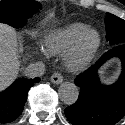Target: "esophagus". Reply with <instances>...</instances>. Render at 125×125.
Here are the masks:
<instances>
[{
    "label": "esophagus",
    "instance_id": "obj_1",
    "mask_svg": "<svg viewBox=\"0 0 125 125\" xmlns=\"http://www.w3.org/2000/svg\"><path fill=\"white\" fill-rule=\"evenodd\" d=\"M51 82L54 84H60L63 81V75L60 72H55L51 78Z\"/></svg>",
    "mask_w": 125,
    "mask_h": 125
}]
</instances>
